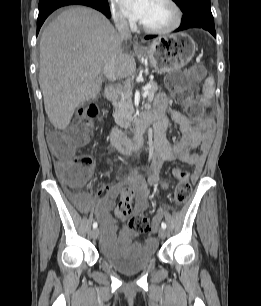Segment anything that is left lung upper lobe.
<instances>
[{
    "label": "left lung upper lobe",
    "instance_id": "obj_1",
    "mask_svg": "<svg viewBox=\"0 0 261 306\" xmlns=\"http://www.w3.org/2000/svg\"><path fill=\"white\" fill-rule=\"evenodd\" d=\"M183 13L194 10L203 9L211 12L210 0H173Z\"/></svg>",
    "mask_w": 261,
    "mask_h": 306
}]
</instances>
